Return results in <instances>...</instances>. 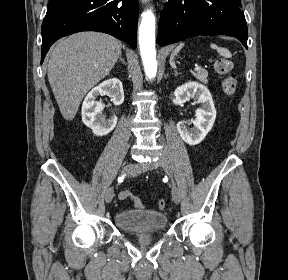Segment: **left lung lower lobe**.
<instances>
[{
    "mask_svg": "<svg viewBox=\"0 0 288 280\" xmlns=\"http://www.w3.org/2000/svg\"><path fill=\"white\" fill-rule=\"evenodd\" d=\"M198 35H227L247 49V24L233 0H169L161 11L157 42L164 46Z\"/></svg>",
    "mask_w": 288,
    "mask_h": 280,
    "instance_id": "1",
    "label": "left lung lower lobe"
}]
</instances>
